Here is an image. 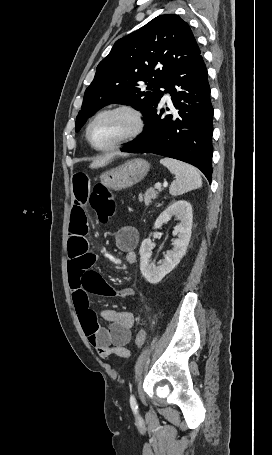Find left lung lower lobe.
<instances>
[{
  "label": "left lung lower lobe",
  "mask_w": 272,
  "mask_h": 455,
  "mask_svg": "<svg viewBox=\"0 0 272 455\" xmlns=\"http://www.w3.org/2000/svg\"><path fill=\"white\" fill-rule=\"evenodd\" d=\"M165 93L171 95L175 114L163 116L164 109L158 104L145 120L143 133L121 151L155 153L187 162L211 182L213 107L201 55L172 74Z\"/></svg>",
  "instance_id": "obj_1"
}]
</instances>
